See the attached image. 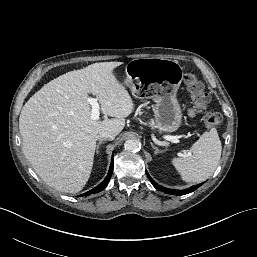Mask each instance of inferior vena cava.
Masks as SVG:
<instances>
[{"instance_id":"602c4592","label":"inferior vena cava","mask_w":257,"mask_h":257,"mask_svg":"<svg viewBox=\"0 0 257 257\" xmlns=\"http://www.w3.org/2000/svg\"><path fill=\"white\" fill-rule=\"evenodd\" d=\"M116 137V134L110 131H102L98 134L99 140H113Z\"/></svg>"}]
</instances>
